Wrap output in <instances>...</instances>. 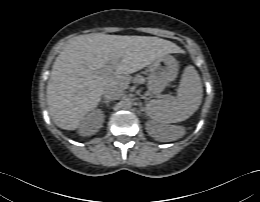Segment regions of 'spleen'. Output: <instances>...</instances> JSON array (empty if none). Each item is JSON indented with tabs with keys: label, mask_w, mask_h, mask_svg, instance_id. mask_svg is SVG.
I'll return each instance as SVG.
<instances>
[{
	"label": "spleen",
	"mask_w": 260,
	"mask_h": 202,
	"mask_svg": "<svg viewBox=\"0 0 260 202\" xmlns=\"http://www.w3.org/2000/svg\"><path fill=\"white\" fill-rule=\"evenodd\" d=\"M203 96L201 79L193 66L184 69L177 89V96L172 100H151L146 105L147 115L159 123H177L189 118L200 106ZM181 134L172 138L175 140Z\"/></svg>",
	"instance_id": "1"
}]
</instances>
